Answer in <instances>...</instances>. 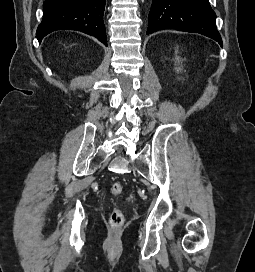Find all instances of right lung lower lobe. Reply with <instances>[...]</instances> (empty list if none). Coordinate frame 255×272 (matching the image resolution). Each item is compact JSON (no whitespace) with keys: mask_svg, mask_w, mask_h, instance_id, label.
Instances as JSON below:
<instances>
[{"mask_svg":"<svg viewBox=\"0 0 255 272\" xmlns=\"http://www.w3.org/2000/svg\"><path fill=\"white\" fill-rule=\"evenodd\" d=\"M106 0H45L43 19L36 37L41 40L56 30H78L107 46L103 14Z\"/></svg>","mask_w":255,"mask_h":272,"instance_id":"1","label":"right lung lower lobe"}]
</instances>
